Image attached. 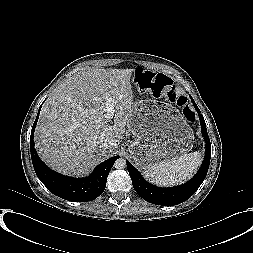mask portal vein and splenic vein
<instances>
[{"label":"portal vein and splenic vein","mask_w":253,"mask_h":253,"mask_svg":"<svg viewBox=\"0 0 253 253\" xmlns=\"http://www.w3.org/2000/svg\"><path fill=\"white\" fill-rule=\"evenodd\" d=\"M114 100L112 98H108L106 101V119L111 120L114 116Z\"/></svg>","instance_id":"portal-vein-and-splenic-vein-1"}]
</instances>
